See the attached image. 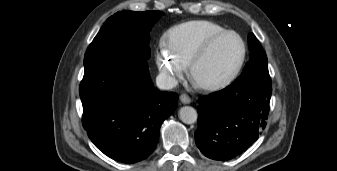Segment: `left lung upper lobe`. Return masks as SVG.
Returning <instances> with one entry per match:
<instances>
[{"label": "left lung upper lobe", "mask_w": 337, "mask_h": 171, "mask_svg": "<svg viewBox=\"0 0 337 171\" xmlns=\"http://www.w3.org/2000/svg\"><path fill=\"white\" fill-rule=\"evenodd\" d=\"M248 42L251 51L250 60L247 62L243 73L233 83L248 80H262L271 83L265 51L254 34H249Z\"/></svg>", "instance_id": "left-lung-upper-lobe-1"}]
</instances>
